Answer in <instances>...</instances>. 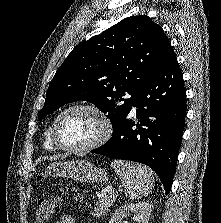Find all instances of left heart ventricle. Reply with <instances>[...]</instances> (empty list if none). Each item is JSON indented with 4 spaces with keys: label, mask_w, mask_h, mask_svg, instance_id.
Instances as JSON below:
<instances>
[{
    "label": "left heart ventricle",
    "mask_w": 221,
    "mask_h": 223,
    "mask_svg": "<svg viewBox=\"0 0 221 223\" xmlns=\"http://www.w3.org/2000/svg\"><path fill=\"white\" fill-rule=\"evenodd\" d=\"M102 131L99 118L89 111L73 110L61 119L58 139L67 146H83L95 140Z\"/></svg>",
    "instance_id": "1"
}]
</instances>
